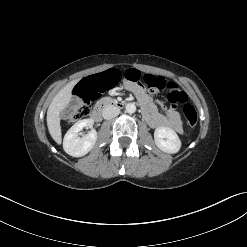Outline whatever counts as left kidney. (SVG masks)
Instances as JSON below:
<instances>
[{"mask_svg":"<svg viewBox=\"0 0 247 247\" xmlns=\"http://www.w3.org/2000/svg\"><path fill=\"white\" fill-rule=\"evenodd\" d=\"M157 147L166 153H177L181 148V141L174 130L169 127H158L154 132Z\"/></svg>","mask_w":247,"mask_h":247,"instance_id":"5707ae66","label":"left kidney"}]
</instances>
